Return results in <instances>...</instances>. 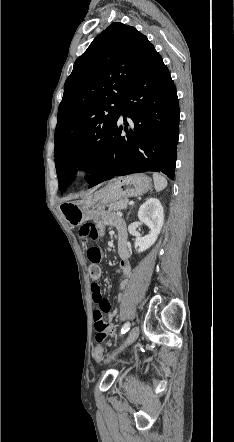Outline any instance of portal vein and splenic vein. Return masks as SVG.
Masks as SVG:
<instances>
[{
  "mask_svg": "<svg viewBox=\"0 0 234 442\" xmlns=\"http://www.w3.org/2000/svg\"><path fill=\"white\" fill-rule=\"evenodd\" d=\"M133 204H134V202H130V203H129V205H133Z\"/></svg>",
  "mask_w": 234,
  "mask_h": 442,
  "instance_id": "obj_1",
  "label": "portal vein and splenic vein"
}]
</instances>
